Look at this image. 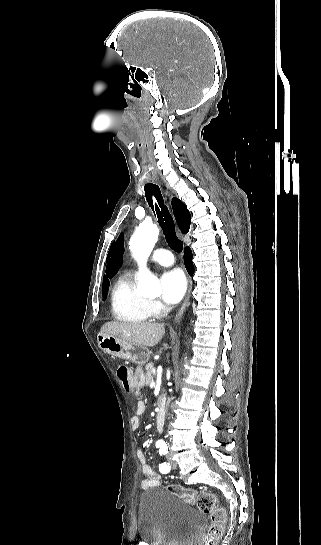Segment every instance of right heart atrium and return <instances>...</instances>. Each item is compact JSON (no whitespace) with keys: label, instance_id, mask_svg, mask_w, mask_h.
<instances>
[{"label":"right heart atrium","instance_id":"d8ad5b80","mask_svg":"<svg viewBox=\"0 0 321 545\" xmlns=\"http://www.w3.org/2000/svg\"><path fill=\"white\" fill-rule=\"evenodd\" d=\"M149 309L151 310L154 317H162L165 313L164 307L159 303H149Z\"/></svg>","mask_w":321,"mask_h":545}]
</instances>
